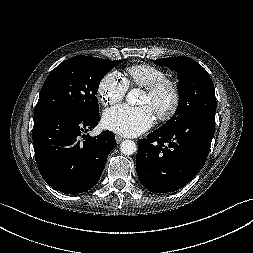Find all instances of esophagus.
Returning <instances> with one entry per match:
<instances>
[{
  "mask_svg": "<svg viewBox=\"0 0 253 253\" xmlns=\"http://www.w3.org/2000/svg\"><path fill=\"white\" fill-rule=\"evenodd\" d=\"M122 140H123V138L122 137H120V136H118V135H116V142L119 144V143H121L122 142Z\"/></svg>",
  "mask_w": 253,
  "mask_h": 253,
  "instance_id": "esophagus-1",
  "label": "esophagus"
}]
</instances>
